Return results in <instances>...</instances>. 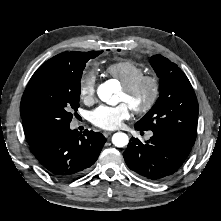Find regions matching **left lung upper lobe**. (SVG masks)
<instances>
[{"label": "left lung upper lobe", "mask_w": 221, "mask_h": 221, "mask_svg": "<svg viewBox=\"0 0 221 221\" xmlns=\"http://www.w3.org/2000/svg\"><path fill=\"white\" fill-rule=\"evenodd\" d=\"M150 63L160 78V96L135 126L193 146L197 135L198 102L190 81L175 63L159 54L152 56Z\"/></svg>", "instance_id": "1"}]
</instances>
